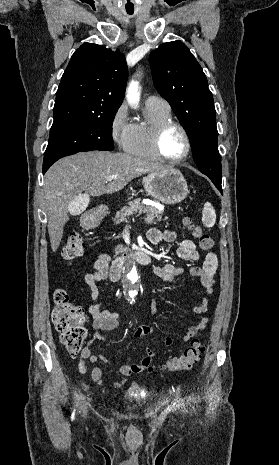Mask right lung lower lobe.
Instances as JSON below:
<instances>
[{
    "label": "right lung lower lobe",
    "mask_w": 279,
    "mask_h": 465,
    "mask_svg": "<svg viewBox=\"0 0 279 465\" xmlns=\"http://www.w3.org/2000/svg\"><path fill=\"white\" fill-rule=\"evenodd\" d=\"M49 167H50V166H48V167H43V173H45V172L48 170Z\"/></svg>",
    "instance_id": "1"
}]
</instances>
